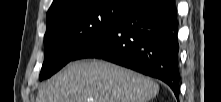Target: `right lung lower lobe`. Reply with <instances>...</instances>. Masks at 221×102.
<instances>
[{
    "label": "right lung lower lobe",
    "instance_id": "1",
    "mask_svg": "<svg viewBox=\"0 0 221 102\" xmlns=\"http://www.w3.org/2000/svg\"><path fill=\"white\" fill-rule=\"evenodd\" d=\"M178 14L173 0H140L75 60L104 59L165 82L179 98Z\"/></svg>",
    "mask_w": 221,
    "mask_h": 102
}]
</instances>
